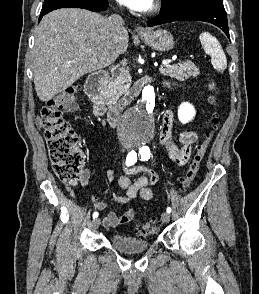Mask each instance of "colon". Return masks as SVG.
<instances>
[{"mask_svg": "<svg viewBox=\"0 0 259 294\" xmlns=\"http://www.w3.org/2000/svg\"><path fill=\"white\" fill-rule=\"evenodd\" d=\"M209 103L216 104L215 83L209 84ZM75 87H68L47 101L41 115L43 119L44 136L48 145L53 169L60 181L75 186L80 180L83 164V154L78 147V137L71 125L63 118V109L69 105L75 95ZM219 126V114L213 111L209 130L194 153L189 167L179 182V190L185 192L193 183L209 144ZM159 229V221L155 217L141 223L137 234L141 237L150 236Z\"/></svg>", "mask_w": 259, "mask_h": 294, "instance_id": "1", "label": "colon"}]
</instances>
